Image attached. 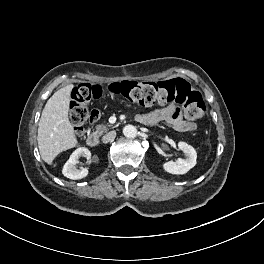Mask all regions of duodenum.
Wrapping results in <instances>:
<instances>
[{"instance_id": "obj_1", "label": "duodenum", "mask_w": 264, "mask_h": 264, "mask_svg": "<svg viewBox=\"0 0 264 264\" xmlns=\"http://www.w3.org/2000/svg\"><path fill=\"white\" fill-rule=\"evenodd\" d=\"M99 141L100 137L97 133H91L86 138V143L91 147L97 146L99 144Z\"/></svg>"}]
</instances>
